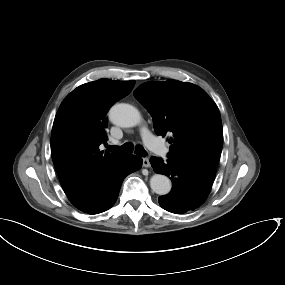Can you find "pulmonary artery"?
<instances>
[{"instance_id": "e3ab8cb5", "label": "pulmonary artery", "mask_w": 285, "mask_h": 285, "mask_svg": "<svg viewBox=\"0 0 285 285\" xmlns=\"http://www.w3.org/2000/svg\"><path fill=\"white\" fill-rule=\"evenodd\" d=\"M141 137L145 144H147L149 147H151L157 154L161 156H166L167 149L166 147L151 133H149L147 130L143 129L141 130Z\"/></svg>"}]
</instances>
